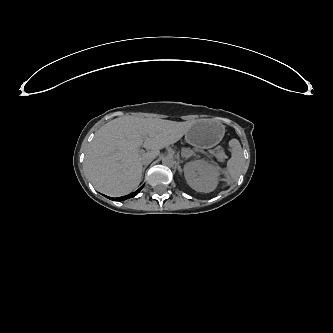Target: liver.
Here are the masks:
<instances>
[{"label":"liver","instance_id":"obj_1","mask_svg":"<svg viewBox=\"0 0 333 333\" xmlns=\"http://www.w3.org/2000/svg\"><path fill=\"white\" fill-rule=\"evenodd\" d=\"M160 121L144 120L141 129L148 135L116 137L99 136L90 143L85 155V168L93 186L107 194H127L142 180V160L155 158L159 150L177 142L181 133H155ZM144 146L147 153L140 154Z\"/></svg>","mask_w":333,"mask_h":333}]
</instances>
